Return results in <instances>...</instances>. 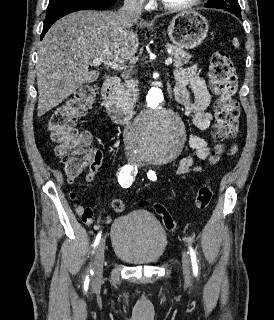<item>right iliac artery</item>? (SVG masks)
Segmentation results:
<instances>
[{
    "mask_svg": "<svg viewBox=\"0 0 274 320\" xmlns=\"http://www.w3.org/2000/svg\"><path fill=\"white\" fill-rule=\"evenodd\" d=\"M137 174V167L132 165L124 166L118 176V181L123 188H128L133 182L134 177ZM101 239V232H99L94 241V248L98 245ZM94 253V252H93ZM86 281L89 282V277L86 278Z\"/></svg>",
    "mask_w": 274,
    "mask_h": 320,
    "instance_id": "1",
    "label": "right iliac artery"
}]
</instances>
